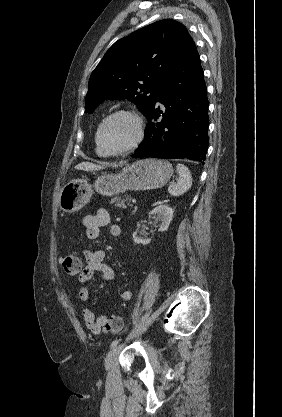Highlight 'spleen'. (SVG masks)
<instances>
[{
    "label": "spleen",
    "mask_w": 282,
    "mask_h": 417,
    "mask_svg": "<svg viewBox=\"0 0 282 417\" xmlns=\"http://www.w3.org/2000/svg\"><path fill=\"white\" fill-rule=\"evenodd\" d=\"M176 170L179 174V178L177 182H172V184L168 186V190L172 196H180V194H184L186 190L191 188L192 184L190 170H188L185 164H177Z\"/></svg>",
    "instance_id": "3e777b00"
}]
</instances>
